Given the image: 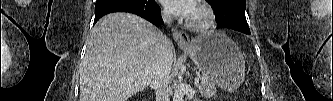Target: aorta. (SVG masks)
Here are the masks:
<instances>
[{
  "instance_id": "1",
  "label": "aorta",
  "mask_w": 333,
  "mask_h": 101,
  "mask_svg": "<svg viewBox=\"0 0 333 101\" xmlns=\"http://www.w3.org/2000/svg\"><path fill=\"white\" fill-rule=\"evenodd\" d=\"M173 101H183V93L179 86H177L174 91Z\"/></svg>"
}]
</instances>
